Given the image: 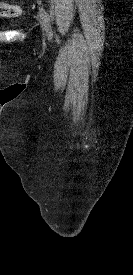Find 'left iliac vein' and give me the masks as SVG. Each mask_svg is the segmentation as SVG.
<instances>
[{
    "label": "left iliac vein",
    "instance_id": "left-iliac-vein-1",
    "mask_svg": "<svg viewBox=\"0 0 133 275\" xmlns=\"http://www.w3.org/2000/svg\"><path fill=\"white\" fill-rule=\"evenodd\" d=\"M38 16L44 34L48 36V33L51 32V27L41 14H39Z\"/></svg>",
    "mask_w": 133,
    "mask_h": 275
}]
</instances>
